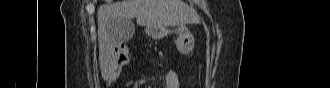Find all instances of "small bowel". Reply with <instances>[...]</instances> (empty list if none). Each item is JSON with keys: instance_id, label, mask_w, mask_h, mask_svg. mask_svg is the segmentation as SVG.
Masks as SVG:
<instances>
[{"instance_id": "obj_1", "label": "small bowel", "mask_w": 330, "mask_h": 88, "mask_svg": "<svg viewBox=\"0 0 330 88\" xmlns=\"http://www.w3.org/2000/svg\"><path fill=\"white\" fill-rule=\"evenodd\" d=\"M120 52L128 54V57H129V50L126 47L125 48L122 47ZM127 62H128V59L125 62V64ZM165 81H166V88H178L179 87V77H178L177 73L174 71H170L167 73Z\"/></svg>"}]
</instances>
